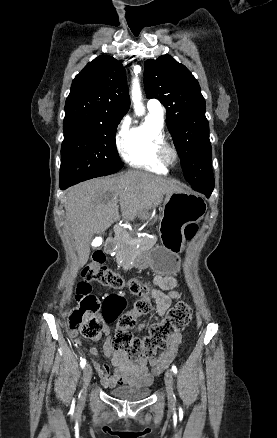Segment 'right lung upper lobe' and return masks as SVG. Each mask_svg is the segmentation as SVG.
Listing matches in <instances>:
<instances>
[{"label":"right lung upper lobe","mask_w":277,"mask_h":438,"mask_svg":"<svg viewBox=\"0 0 277 438\" xmlns=\"http://www.w3.org/2000/svg\"><path fill=\"white\" fill-rule=\"evenodd\" d=\"M129 107L124 67L115 58L101 55L73 80L64 119L120 122Z\"/></svg>","instance_id":"1"}]
</instances>
